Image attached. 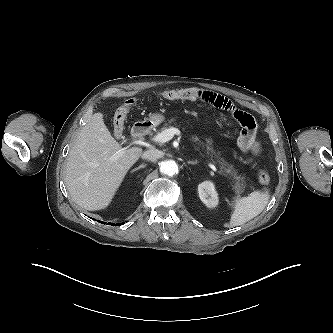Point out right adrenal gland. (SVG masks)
Here are the masks:
<instances>
[{"mask_svg":"<svg viewBox=\"0 0 333 333\" xmlns=\"http://www.w3.org/2000/svg\"><path fill=\"white\" fill-rule=\"evenodd\" d=\"M146 167V164H141L140 166H138L137 168L133 169L132 172H135L137 170L143 169Z\"/></svg>","mask_w":333,"mask_h":333,"instance_id":"right-adrenal-gland-1","label":"right adrenal gland"}]
</instances>
